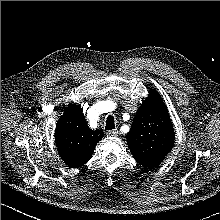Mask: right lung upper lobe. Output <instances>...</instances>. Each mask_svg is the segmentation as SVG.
Instances as JSON below:
<instances>
[{
    "mask_svg": "<svg viewBox=\"0 0 220 220\" xmlns=\"http://www.w3.org/2000/svg\"><path fill=\"white\" fill-rule=\"evenodd\" d=\"M103 135L101 130L88 127L80 105L70 104L58 120L55 143L63 161L71 168H78L90 160Z\"/></svg>",
    "mask_w": 220,
    "mask_h": 220,
    "instance_id": "1",
    "label": "right lung upper lobe"
}]
</instances>
